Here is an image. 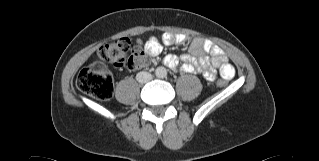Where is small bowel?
<instances>
[{"instance_id":"obj_1","label":"small bowel","mask_w":319,"mask_h":161,"mask_svg":"<svg viewBox=\"0 0 319 161\" xmlns=\"http://www.w3.org/2000/svg\"><path fill=\"white\" fill-rule=\"evenodd\" d=\"M162 41L167 45L180 44L189 45L190 54L182 56L184 64L179 66V59L171 56L166 60V65L172 71H178L181 69L185 73L199 72L202 73L207 80H213L215 73L212 70H206L207 61L204 57L205 53H211L213 56L212 65L217 68L220 75L224 79H230L233 77L235 70L234 67L227 61V58L223 50L216 45H213L210 41H201L200 39H193L185 34L173 35L165 33L162 36ZM140 45L153 56L160 52L161 44L157 37H150L147 40H138Z\"/></svg>"}]
</instances>
